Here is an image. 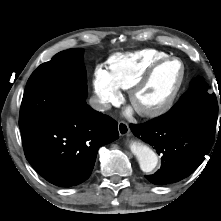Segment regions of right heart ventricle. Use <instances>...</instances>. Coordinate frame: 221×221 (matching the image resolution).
Segmentation results:
<instances>
[{
  "instance_id": "right-heart-ventricle-1",
  "label": "right heart ventricle",
  "mask_w": 221,
  "mask_h": 221,
  "mask_svg": "<svg viewBox=\"0 0 221 221\" xmlns=\"http://www.w3.org/2000/svg\"><path fill=\"white\" fill-rule=\"evenodd\" d=\"M166 57L169 54L157 49L117 53L107 61L108 73L119 88L127 90L152 64Z\"/></svg>"
}]
</instances>
